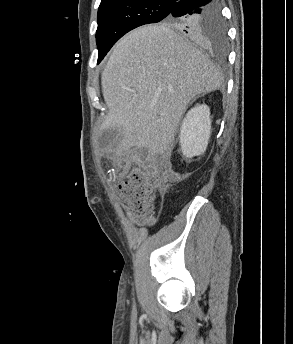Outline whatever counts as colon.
Here are the masks:
<instances>
[{
	"label": "colon",
	"mask_w": 293,
	"mask_h": 344,
	"mask_svg": "<svg viewBox=\"0 0 293 344\" xmlns=\"http://www.w3.org/2000/svg\"><path fill=\"white\" fill-rule=\"evenodd\" d=\"M157 180L138 168H133L119 185V192L127 213L137 222L153 220L157 194Z\"/></svg>",
	"instance_id": "colon-1"
}]
</instances>
